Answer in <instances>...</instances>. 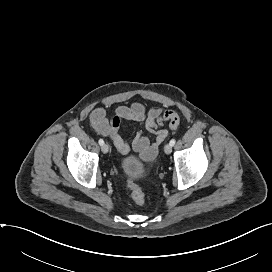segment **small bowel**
Wrapping results in <instances>:
<instances>
[{"instance_id":"small-bowel-1","label":"small bowel","mask_w":272,"mask_h":272,"mask_svg":"<svg viewBox=\"0 0 272 272\" xmlns=\"http://www.w3.org/2000/svg\"><path fill=\"white\" fill-rule=\"evenodd\" d=\"M116 118L118 123L108 124L103 122L98 126V131L102 135L110 137L120 154L127 155L130 152V146L120 133V122L140 123L143 130L138 132L133 139L132 148L142 159L147 161H151L157 156L159 146L168 135L167 129L163 127L164 124L167 123L172 131H176L180 124V117L176 111L158 106L146 108L141 103L120 106L117 109ZM144 131L152 133L154 138L148 137Z\"/></svg>"}]
</instances>
